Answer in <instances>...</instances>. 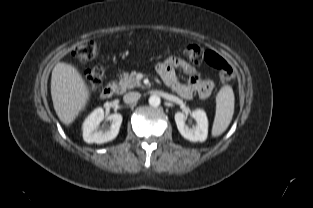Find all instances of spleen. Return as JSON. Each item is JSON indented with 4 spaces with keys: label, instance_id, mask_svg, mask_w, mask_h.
<instances>
[{
    "label": "spleen",
    "instance_id": "3e777b00",
    "mask_svg": "<svg viewBox=\"0 0 313 208\" xmlns=\"http://www.w3.org/2000/svg\"><path fill=\"white\" fill-rule=\"evenodd\" d=\"M234 93L229 85L223 86L216 96V114L212 136L217 137L226 131L234 114Z\"/></svg>",
    "mask_w": 313,
    "mask_h": 208
}]
</instances>
